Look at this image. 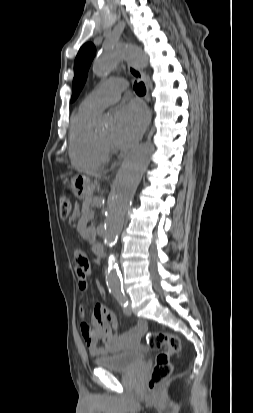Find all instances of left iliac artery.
Masks as SVG:
<instances>
[{
	"label": "left iliac artery",
	"mask_w": 253,
	"mask_h": 413,
	"mask_svg": "<svg viewBox=\"0 0 253 413\" xmlns=\"http://www.w3.org/2000/svg\"><path fill=\"white\" fill-rule=\"evenodd\" d=\"M112 294L122 307L125 308L128 305V300L125 297L123 289H115Z\"/></svg>",
	"instance_id": "left-iliac-artery-1"
}]
</instances>
